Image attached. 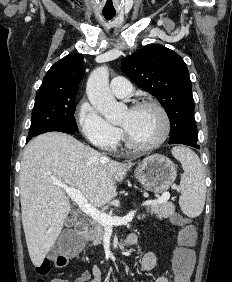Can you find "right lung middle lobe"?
<instances>
[{
	"mask_svg": "<svg viewBox=\"0 0 232 282\" xmlns=\"http://www.w3.org/2000/svg\"><path fill=\"white\" fill-rule=\"evenodd\" d=\"M76 94H36L31 127L27 139L45 133L54 127L78 130L75 113Z\"/></svg>",
	"mask_w": 232,
	"mask_h": 282,
	"instance_id": "right-lung-middle-lobe-1",
	"label": "right lung middle lobe"
}]
</instances>
